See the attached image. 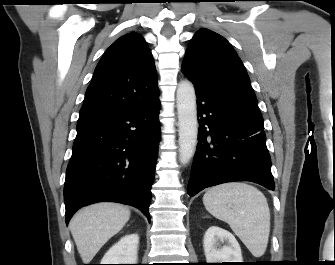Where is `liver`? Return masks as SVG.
<instances>
[{
  "label": "liver",
  "mask_w": 335,
  "mask_h": 265,
  "mask_svg": "<svg viewBox=\"0 0 335 265\" xmlns=\"http://www.w3.org/2000/svg\"><path fill=\"white\" fill-rule=\"evenodd\" d=\"M130 210L118 203L101 202L77 212L69 228L77 250L85 264H89L101 247L128 222Z\"/></svg>",
  "instance_id": "liver-1"
}]
</instances>
